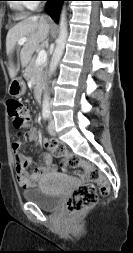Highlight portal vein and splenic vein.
<instances>
[{
    "instance_id": "1",
    "label": "portal vein and splenic vein",
    "mask_w": 133,
    "mask_h": 253,
    "mask_svg": "<svg viewBox=\"0 0 133 253\" xmlns=\"http://www.w3.org/2000/svg\"><path fill=\"white\" fill-rule=\"evenodd\" d=\"M27 40H28L27 38H21V39H19L18 44L23 45ZM46 60H47V53L44 49H42L38 53V57L36 59V64L41 65V64L45 63Z\"/></svg>"
}]
</instances>
